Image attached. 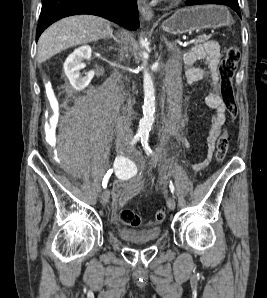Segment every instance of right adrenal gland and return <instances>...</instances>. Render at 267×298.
Instances as JSON below:
<instances>
[{
  "label": "right adrenal gland",
  "instance_id": "obj_1",
  "mask_svg": "<svg viewBox=\"0 0 267 298\" xmlns=\"http://www.w3.org/2000/svg\"><path fill=\"white\" fill-rule=\"evenodd\" d=\"M107 38H113L116 42H118L117 38L113 35V33H111L110 36H107Z\"/></svg>",
  "mask_w": 267,
  "mask_h": 298
}]
</instances>
